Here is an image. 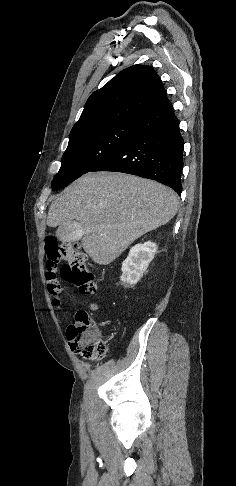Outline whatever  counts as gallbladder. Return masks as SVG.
I'll use <instances>...</instances> for the list:
<instances>
[{
    "instance_id": "obj_1",
    "label": "gallbladder",
    "mask_w": 236,
    "mask_h": 486,
    "mask_svg": "<svg viewBox=\"0 0 236 486\" xmlns=\"http://www.w3.org/2000/svg\"><path fill=\"white\" fill-rule=\"evenodd\" d=\"M80 233V224L77 221H70L58 227L56 236L62 242H74L80 239Z\"/></svg>"
}]
</instances>
